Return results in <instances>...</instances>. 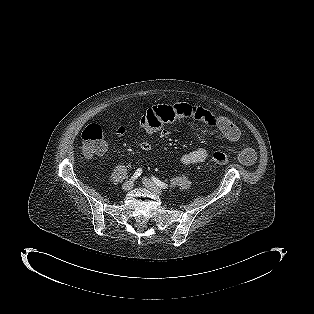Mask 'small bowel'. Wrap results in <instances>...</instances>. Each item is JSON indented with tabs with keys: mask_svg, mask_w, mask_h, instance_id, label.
<instances>
[{
	"mask_svg": "<svg viewBox=\"0 0 314 314\" xmlns=\"http://www.w3.org/2000/svg\"><path fill=\"white\" fill-rule=\"evenodd\" d=\"M190 119L216 129L229 142H240L239 161L245 166L254 163L255 152L247 143L242 141V134L237 125L226 116L202 107L191 106L187 102L173 101L162 105H149L145 109L144 116L140 119L139 128L142 133H157L161 140L170 134L168 128H163L164 125H177ZM139 145L144 152H149L153 148V144L144 139L140 140ZM209 157V152L206 149L199 148L184 153L181 156V162L184 165H194L207 161Z\"/></svg>",
	"mask_w": 314,
	"mask_h": 314,
	"instance_id": "obj_1",
	"label": "small bowel"
}]
</instances>
